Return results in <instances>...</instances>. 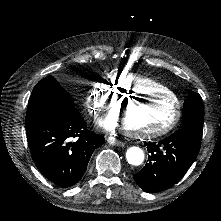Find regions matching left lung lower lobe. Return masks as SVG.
I'll use <instances>...</instances> for the list:
<instances>
[{"instance_id":"1","label":"left lung lower lobe","mask_w":221,"mask_h":221,"mask_svg":"<svg viewBox=\"0 0 221 221\" xmlns=\"http://www.w3.org/2000/svg\"><path fill=\"white\" fill-rule=\"evenodd\" d=\"M201 137L202 133L183 127L158 143L145 144L151 156L149 163L133 176L138 186L155 193L177 183L196 159Z\"/></svg>"}]
</instances>
